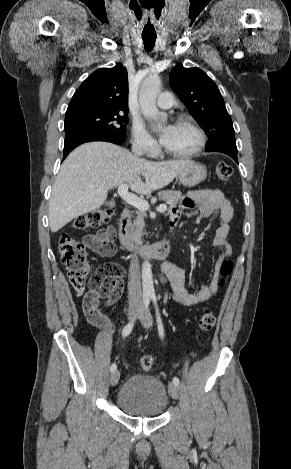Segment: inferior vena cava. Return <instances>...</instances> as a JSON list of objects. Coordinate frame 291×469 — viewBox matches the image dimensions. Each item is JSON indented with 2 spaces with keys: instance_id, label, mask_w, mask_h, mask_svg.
I'll return each instance as SVG.
<instances>
[{
  "instance_id": "inferior-vena-cava-1",
  "label": "inferior vena cava",
  "mask_w": 291,
  "mask_h": 469,
  "mask_svg": "<svg viewBox=\"0 0 291 469\" xmlns=\"http://www.w3.org/2000/svg\"><path fill=\"white\" fill-rule=\"evenodd\" d=\"M132 152L134 155L140 156L143 152L142 148L138 144L132 146ZM128 299L130 306H143V297L141 289V276L139 261L136 254L133 255L130 267H129V276H128Z\"/></svg>"
}]
</instances>
